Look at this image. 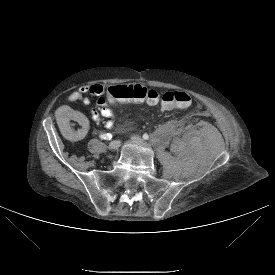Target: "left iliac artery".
<instances>
[{"label":"left iliac artery","mask_w":275,"mask_h":275,"mask_svg":"<svg viewBox=\"0 0 275 275\" xmlns=\"http://www.w3.org/2000/svg\"><path fill=\"white\" fill-rule=\"evenodd\" d=\"M148 138H149L148 134L145 133V134L143 135V139H144V140H147Z\"/></svg>","instance_id":"obj_1"}]
</instances>
